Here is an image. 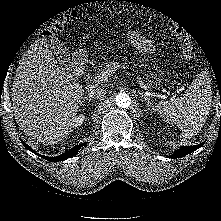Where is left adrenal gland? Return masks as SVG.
I'll return each instance as SVG.
<instances>
[{
  "label": "left adrenal gland",
  "mask_w": 221,
  "mask_h": 221,
  "mask_svg": "<svg viewBox=\"0 0 221 221\" xmlns=\"http://www.w3.org/2000/svg\"><path fill=\"white\" fill-rule=\"evenodd\" d=\"M139 95L147 102V109L149 110L150 107H153L151 104V101H150V98H148L143 92L139 91ZM154 109V108H152Z\"/></svg>",
  "instance_id": "a2214340"
}]
</instances>
